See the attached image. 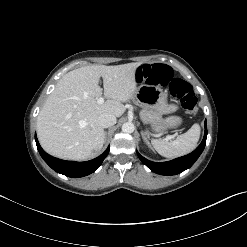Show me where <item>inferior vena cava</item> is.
Wrapping results in <instances>:
<instances>
[{"label":"inferior vena cava","mask_w":247,"mask_h":247,"mask_svg":"<svg viewBox=\"0 0 247 247\" xmlns=\"http://www.w3.org/2000/svg\"><path fill=\"white\" fill-rule=\"evenodd\" d=\"M98 123L103 128H108L116 124V117L109 113L101 114L98 118Z\"/></svg>","instance_id":"inferior-vena-cava-1"}]
</instances>
